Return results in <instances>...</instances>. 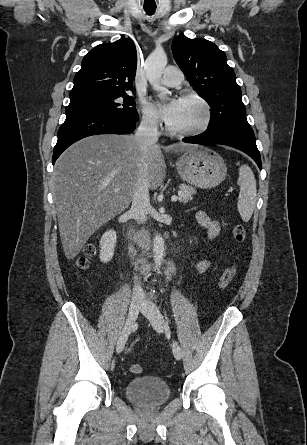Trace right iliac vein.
I'll list each match as a JSON object with an SVG mask.
<instances>
[{
    "mask_svg": "<svg viewBox=\"0 0 307 445\" xmlns=\"http://www.w3.org/2000/svg\"><path fill=\"white\" fill-rule=\"evenodd\" d=\"M141 305H142V302L140 299H133L131 301V304L129 307V313H128V317H127L124 329H123V331L117 341V344H116V352L118 354L121 353L125 347V344L127 342L130 331L133 328L134 322L138 317Z\"/></svg>",
    "mask_w": 307,
    "mask_h": 445,
    "instance_id": "1",
    "label": "right iliac vein"
}]
</instances>
